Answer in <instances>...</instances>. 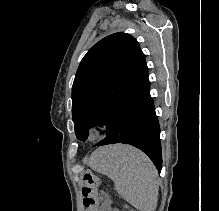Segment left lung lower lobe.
Returning <instances> with one entry per match:
<instances>
[{
    "mask_svg": "<svg viewBox=\"0 0 219 211\" xmlns=\"http://www.w3.org/2000/svg\"><path fill=\"white\" fill-rule=\"evenodd\" d=\"M114 143L129 144L141 149L150 157L160 173V126L150 96V84L129 104L115 128L96 146Z\"/></svg>",
    "mask_w": 219,
    "mask_h": 211,
    "instance_id": "obj_1",
    "label": "left lung lower lobe"
}]
</instances>
